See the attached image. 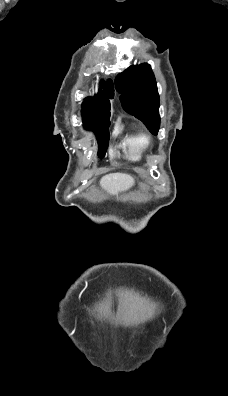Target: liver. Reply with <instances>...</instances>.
<instances>
[{"mask_svg": "<svg viewBox=\"0 0 228 396\" xmlns=\"http://www.w3.org/2000/svg\"><path fill=\"white\" fill-rule=\"evenodd\" d=\"M101 186L111 195L127 190L134 185V178L124 173H111L100 180Z\"/></svg>", "mask_w": 228, "mask_h": 396, "instance_id": "liver-1", "label": "liver"}]
</instances>
